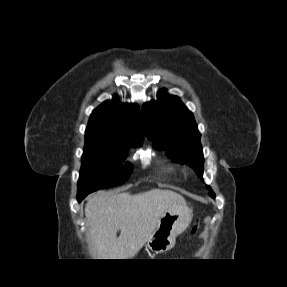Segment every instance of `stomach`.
<instances>
[{
  "label": "stomach",
  "mask_w": 287,
  "mask_h": 287,
  "mask_svg": "<svg viewBox=\"0 0 287 287\" xmlns=\"http://www.w3.org/2000/svg\"><path fill=\"white\" fill-rule=\"evenodd\" d=\"M191 220L192 210L186 203L173 205L159 219L147 247L154 253L167 252L175 245L176 237L188 228Z\"/></svg>",
  "instance_id": "0dacf381"
}]
</instances>
